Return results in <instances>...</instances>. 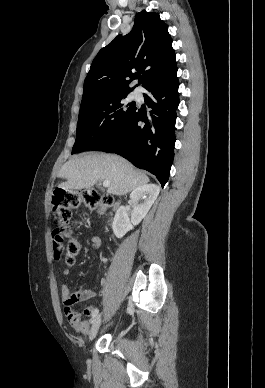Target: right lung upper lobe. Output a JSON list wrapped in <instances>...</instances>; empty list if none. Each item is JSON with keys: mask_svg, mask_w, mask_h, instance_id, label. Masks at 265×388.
<instances>
[{"mask_svg": "<svg viewBox=\"0 0 265 388\" xmlns=\"http://www.w3.org/2000/svg\"><path fill=\"white\" fill-rule=\"evenodd\" d=\"M140 73L144 88L177 73L167 25L158 13L144 10L136 14L128 35H118L99 51L85 79L83 98L105 90L131 92L137 85L129 84Z\"/></svg>", "mask_w": 265, "mask_h": 388, "instance_id": "cb5924a9", "label": "right lung upper lobe"}]
</instances>
